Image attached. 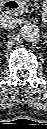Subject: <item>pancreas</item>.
Masks as SVG:
<instances>
[{
    "label": "pancreas",
    "instance_id": "pancreas-1",
    "mask_svg": "<svg viewBox=\"0 0 47 129\" xmlns=\"http://www.w3.org/2000/svg\"><path fill=\"white\" fill-rule=\"evenodd\" d=\"M20 2H21L22 4H24V7L27 6V0H20Z\"/></svg>",
    "mask_w": 47,
    "mask_h": 129
}]
</instances>
